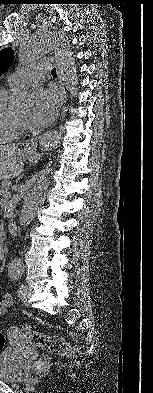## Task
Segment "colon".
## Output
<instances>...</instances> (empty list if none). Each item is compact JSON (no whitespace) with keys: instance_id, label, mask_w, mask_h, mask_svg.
Masks as SVG:
<instances>
[{"instance_id":"obj_1","label":"colon","mask_w":153,"mask_h":393,"mask_svg":"<svg viewBox=\"0 0 153 393\" xmlns=\"http://www.w3.org/2000/svg\"><path fill=\"white\" fill-rule=\"evenodd\" d=\"M0 303V308H1ZM15 328L11 329L13 334ZM24 336L28 339L29 343L33 346L42 348L46 352L55 356H66L69 358H77L80 354V349L77 345L66 342L64 339L57 336H49L40 333H32L28 327L24 328ZM6 339L5 336L0 333V351L5 348ZM46 367L44 361H39L35 365L37 372H42Z\"/></svg>"}]
</instances>
